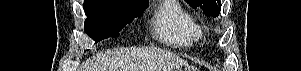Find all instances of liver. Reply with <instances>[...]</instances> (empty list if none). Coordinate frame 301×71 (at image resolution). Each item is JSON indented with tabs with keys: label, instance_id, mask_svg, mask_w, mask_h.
Returning <instances> with one entry per match:
<instances>
[{
	"label": "liver",
	"instance_id": "obj_1",
	"mask_svg": "<svg viewBox=\"0 0 301 71\" xmlns=\"http://www.w3.org/2000/svg\"><path fill=\"white\" fill-rule=\"evenodd\" d=\"M187 62L155 48L110 51L96 57L83 71H176Z\"/></svg>",
	"mask_w": 301,
	"mask_h": 71
}]
</instances>
